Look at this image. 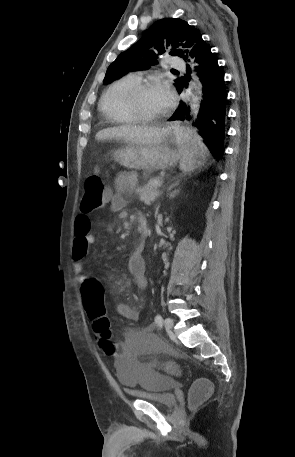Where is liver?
<instances>
[{"instance_id":"6515ba94","label":"liver","mask_w":295,"mask_h":457,"mask_svg":"<svg viewBox=\"0 0 295 457\" xmlns=\"http://www.w3.org/2000/svg\"><path fill=\"white\" fill-rule=\"evenodd\" d=\"M165 131V127L122 125L99 131L96 139L98 141L115 139L144 146L158 143Z\"/></svg>"}]
</instances>
